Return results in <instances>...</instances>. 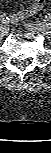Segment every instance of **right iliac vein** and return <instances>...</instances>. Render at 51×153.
<instances>
[{"mask_svg":"<svg viewBox=\"0 0 51 153\" xmlns=\"http://www.w3.org/2000/svg\"><path fill=\"white\" fill-rule=\"evenodd\" d=\"M7 33H8L7 26L6 25H1V27H0V35L1 36H5V35H7Z\"/></svg>","mask_w":51,"mask_h":153,"instance_id":"1","label":"right iliac vein"}]
</instances>
